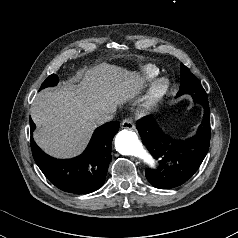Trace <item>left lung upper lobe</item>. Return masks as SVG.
I'll return each instance as SVG.
<instances>
[{
  "label": "left lung upper lobe",
  "instance_id": "left-lung-upper-lobe-1",
  "mask_svg": "<svg viewBox=\"0 0 238 238\" xmlns=\"http://www.w3.org/2000/svg\"><path fill=\"white\" fill-rule=\"evenodd\" d=\"M190 94L195 102H208L207 95L198 79L181 63V85L177 97Z\"/></svg>",
  "mask_w": 238,
  "mask_h": 238
}]
</instances>
